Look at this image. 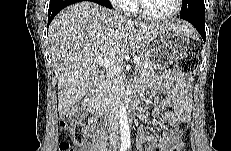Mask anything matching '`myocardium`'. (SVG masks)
Wrapping results in <instances>:
<instances>
[{
    "label": "myocardium",
    "instance_id": "f54148a6",
    "mask_svg": "<svg viewBox=\"0 0 231 151\" xmlns=\"http://www.w3.org/2000/svg\"><path fill=\"white\" fill-rule=\"evenodd\" d=\"M181 3H182L181 0H174V8L170 13H168L166 15H162V16H155V15H150L144 11L141 0H135L134 1L136 14L140 18H142L146 21H151V22H165V21L172 19L173 17H175L178 14V12L180 10Z\"/></svg>",
    "mask_w": 231,
    "mask_h": 151
}]
</instances>
